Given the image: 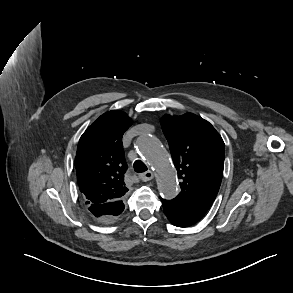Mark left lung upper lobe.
<instances>
[{
    "instance_id": "obj_1",
    "label": "left lung upper lobe",
    "mask_w": 293,
    "mask_h": 293,
    "mask_svg": "<svg viewBox=\"0 0 293 293\" xmlns=\"http://www.w3.org/2000/svg\"><path fill=\"white\" fill-rule=\"evenodd\" d=\"M161 125L181 179V192L176 199L206 213L223 176V139L208 121L191 113L165 115Z\"/></svg>"
}]
</instances>
